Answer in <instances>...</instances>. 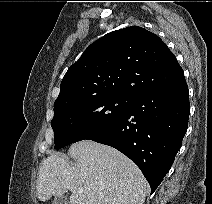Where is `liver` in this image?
<instances>
[{
	"mask_svg": "<svg viewBox=\"0 0 212 204\" xmlns=\"http://www.w3.org/2000/svg\"><path fill=\"white\" fill-rule=\"evenodd\" d=\"M70 165L52 153L39 167L36 194L45 202L71 191L70 204H144L147 181L140 169L118 150L83 140L71 145ZM79 187L84 188L78 193Z\"/></svg>",
	"mask_w": 212,
	"mask_h": 204,
	"instance_id": "1",
	"label": "liver"
}]
</instances>
